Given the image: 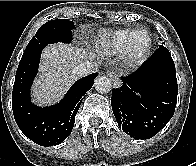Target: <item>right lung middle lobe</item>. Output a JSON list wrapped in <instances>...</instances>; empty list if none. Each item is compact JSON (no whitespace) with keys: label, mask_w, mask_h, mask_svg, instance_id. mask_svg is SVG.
<instances>
[{"label":"right lung middle lobe","mask_w":196,"mask_h":166,"mask_svg":"<svg viewBox=\"0 0 196 166\" xmlns=\"http://www.w3.org/2000/svg\"><path fill=\"white\" fill-rule=\"evenodd\" d=\"M74 24L68 19H58L46 22L37 31L35 36L28 43L25 51L45 47L55 42L69 43L72 40V29Z\"/></svg>","instance_id":"obj_1"}]
</instances>
